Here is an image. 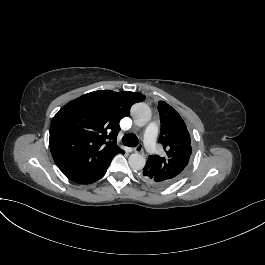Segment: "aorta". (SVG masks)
<instances>
[{"label":"aorta","instance_id":"762f6f07","mask_svg":"<svg viewBox=\"0 0 265 265\" xmlns=\"http://www.w3.org/2000/svg\"><path fill=\"white\" fill-rule=\"evenodd\" d=\"M131 114L134 122L139 126L145 125L151 119V110L144 103H137L133 105ZM128 162L133 170H141L145 167L146 158L139 153H133L129 156Z\"/></svg>","mask_w":265,"mask_h":265}]
</instances>
